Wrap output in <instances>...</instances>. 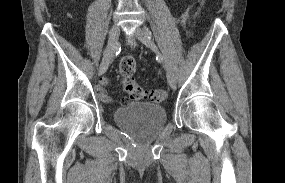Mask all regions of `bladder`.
Listing matches in <instances>:
<instances>
[{
  "instance_id": "31cf9c89",
  "label": "bladder",
  "mask_w": 285,
  "mask_h": 183,
  "mask_svg": "<svg viewBox=\"0 0 285 183\" xmlns=\"http://www.w3.org/2000/svg\"><path fill=\"white\" fill-rule=\"evenodd\" d=\"M166 110L152 103H131L114 112V119L122 127L140 134L157 132L166 121Z\"/></svg>"
}]
</instances>
